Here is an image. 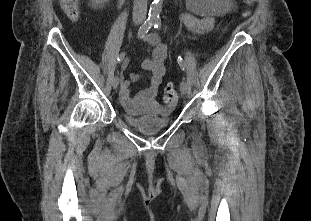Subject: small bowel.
<instances>
[{"mask_svg": "<svg viewBox=\"0 0 311 221\" xmlns=\"http://www.w3.org/2000/svg\"><path fill=\"white\" fill-rule=\"evenodd\" d=\"M181 22L194 34H203L210 31L216 19L212 16L197 17L191 13H184L180 17ZM145 42L149 47L151 56L142 62L145 74L134 73L129 79L122 80L120 84V96L124 102L132 100L130 96V85L139 81L144 76L148 77L149 83L146 88L140 90L136 99L151 100L157 96L161 80L166 72L165 60L168 56V46L160 42L156 34H148Z\"/></svg>", "mask_w": 311, "mask_h": 221, "instance_id": "obj_1", "label": "small bowel"}]
</instances>
